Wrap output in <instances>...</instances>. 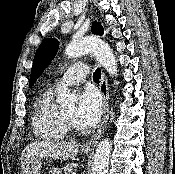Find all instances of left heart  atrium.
<instances>
[{
    "label": "left heart atrium",
    "instance_id": "1",
    "mask_svg": "<svg viewBox=\"0 0 175 174\" xmlns=\"http://www.w3.org/2000/svg\"><path fill=\"white\" fill-rule=\"evenodd\" d=\"M102 101L99 93L91 87L85 88L79 95L74 113V122L80 128H91L100 119Z\"/></svg>",
    "mask_w": 175,
    "mask_h": 174
}]
</instances>
